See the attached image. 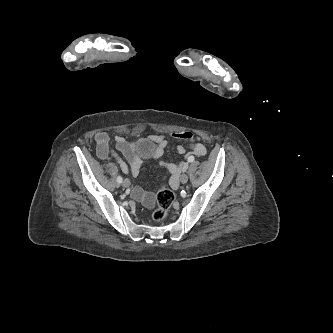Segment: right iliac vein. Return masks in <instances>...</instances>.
<instances>
[{
	"instance_id": "1",
	"label": "right iliac vein",
	"mask_w": 333,
	"mask_h": 333,
	"mask_svg": "<svg viewBox=\"0 0 333 333\" xmlns=\"http://www.w3.org/2000/svg\"><path fill=\"white\" fill-rule=\"evenodd\" d=\"M122 186L125 187V188L129 187L130 186L129 179H127V178L124 179L123 182H122Z\"/></svg>"
}]
</instances>
